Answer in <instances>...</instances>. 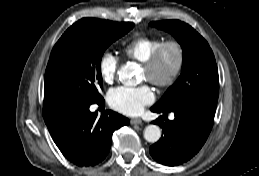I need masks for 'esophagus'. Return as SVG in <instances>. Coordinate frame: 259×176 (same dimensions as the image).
<instances>
[{
    "mask_svg": "<svg viewBox=\"0 0 259 176\" xmlns=\"http://www.w3.org/2000/svg\"><path fill=\"white\" fill-rule=\"evenodd\" d=\"M131 124H138V125H140V124H142V120L140 119V118H134V119H131Z\"/></svg>",
    "mask_w": 259,
    "mask_h": 176,
    "instance_id": "esophagus-1",
    "label": "esophagus"
}]
</instances>
